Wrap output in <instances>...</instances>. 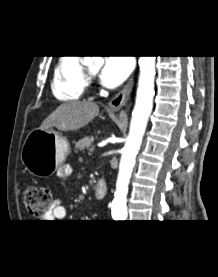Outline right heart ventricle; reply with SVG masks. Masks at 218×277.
Returning <instances> with one entry per match:
<instances>
[{
	"mask_svg": "<svg viewBox=\"0 0 218 277\" xmlns=\"http://www.w3.org/2000/svg\"><path fill=\"white\" fill-rule=\"evenodd\" d=\"M85 88V72L80 58L61 57L53 70V95L61 101H77L83 96Z\"/></svg>",
	"mask_w": 218,
	"mask_h": 277,
	"instance_id": "1",
	"label": "right heart ventricle"
}]
</instances>
